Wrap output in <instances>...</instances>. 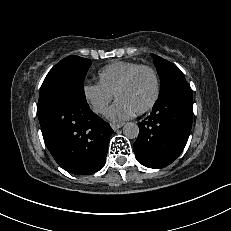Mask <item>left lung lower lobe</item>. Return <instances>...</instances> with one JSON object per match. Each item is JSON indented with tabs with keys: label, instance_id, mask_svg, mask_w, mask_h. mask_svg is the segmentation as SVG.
<instances>
[{
	"label": "left lung lower lobe",
	"instance_id": "0a47b994",
	"mask_svg": "<svg viewBox=\"0 0 231 231\" xmlns=\"http://www.w3.org/2000/svg\"><path fill=\"white\" fill-rule=\"evenodd\" d=\"M152 110L138 123L134 153L142 165L158 169L171 164L187 143L193 115L188 82H175L160 92Z\"/></svg>",
	"mask_w": 231,
	"mask_h": 231
}]
</instances>
